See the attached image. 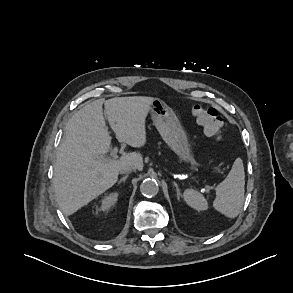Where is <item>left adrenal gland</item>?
Instances as JSON below:
<instances>
[{
    "label": "left adrenal gland",
    "mask_w": 293,
    "mask_h": 293,
    "mask_svg": "<svg viewBox=\"0 0 293 293\" xmlns=\"http://www.w3.org/2000/svg\"><path fill=\"white\" fill-rule=\"evenodd\" d=\"M173 184H174V186H175V188H176L177 199L180 200V189H179V187H178V185H177L176 182H174Z\"/></svg>",
    "instance_id": "left-adrenal-gland-1"
}]
</instances>
